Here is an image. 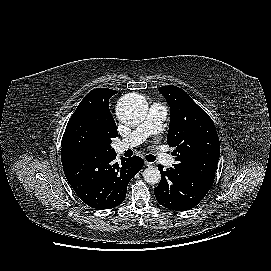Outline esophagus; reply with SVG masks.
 <instances>
[{"label":"esophagus","mask_w":271,"mask_h":271,"mask_svg":"<svg viewBox=\"0 0 271 271\" xmlns=\"http://www.w3.org/2000/svg\"><path fill=\"white\" fill-rule=\"evenodd\" d=\"M144 164H145L147 167H152V166H153V163H152V162H149V161H144Z\"/></svg>","instance_id":"1"}]
</instances>
